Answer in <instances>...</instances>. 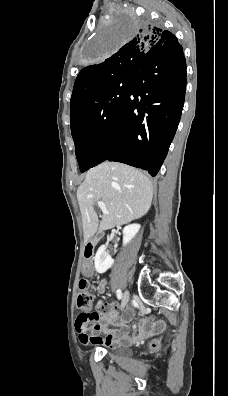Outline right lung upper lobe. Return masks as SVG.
Returning <instances> with one entry per match:
<instances>
[{
	"label": "right lung upper lobe",
	"mask_w": 228,
	"mask_h": 396,
	"mask_svg": "<svg viewBox=\"0 0 228 396\" xmlns=\"http://www.w3.org/2000/svg\"><path fill=\"white\" fill-rule=\"evenodd\" d=\"M179 45L169 31L144 26L138 34L101 62L83 68L75 81L70 102V120L79 115L105 88L119 79L131 78L141 60L156 50Z\"/></svg>",
	"instance_id": "cb5924a9"
}]
</instances>
